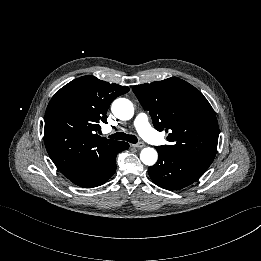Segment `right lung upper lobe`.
<instances>
[{"instance_id":"cb5924a9","label":"right lung upper lobe","mask_w":261,"mask_h":261,"mask_svg":"<svg viewBox=\"0 0 261 261\" xmlns=\"http://www.w3.org/2000/svg\"><path fill=\"white\" fill-rule=\"evenodd\" d=\"M129 91L94 76L77 78L61 88L45 113V145L56 167L66 177L78 174L126 142L100 137L111 102Z\"/></svg>"}]
</instances>
